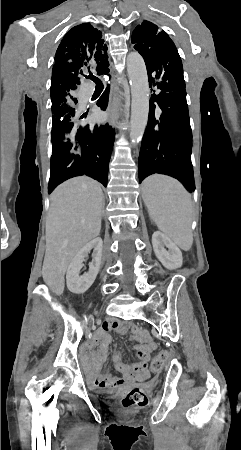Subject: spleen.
Wrapping results in <instances>:
<instances>
[{
    "mask_svg": "<svg viewBox=\"0 0 241 450\" xmlns=\"http://www.w3.org/2000/svg\"><path fill=\"white\" fill-rule=\"evenodd\" d=\"M142 198L159 230L188 252L193 244L191 194L178 180L154 174L144 180Z\"/></svg>",
    "mask_w": 241,
    "mask_h": 450,
    "instance_id": "spleen-1",
    "label": "spleen"
}]
</instances>
